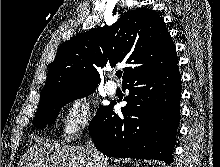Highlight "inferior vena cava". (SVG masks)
Returning <instances> with one entry per match:
<instances>
[{
  "instance_id": "602c4592",
  "label": "inferior vena cava",
  "mask_w": 220,
  "mask_h": 167,
  "mask_svg": "<svg viewBox=\"0 0 220 167\" xmlns=\"http://www.w3.org/2000/svg\"><path fill=\"white\" fill-rule=\"evenodd\" d=\"M86 147L91 151L95 167H109L105 157L95 148L91 138L88 139Z\"/></svg>"
}]
</instances>
